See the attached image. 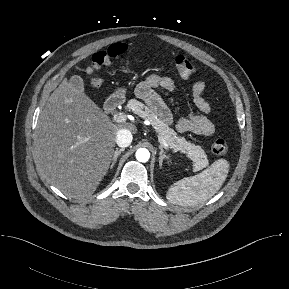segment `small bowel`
Instances as JSON below:
<instances>
[{
  "label": "small bowel",
  "mask_w": 289,
  "mask_h": 289,
  "mask_svg": "<svg viewBox=\"0 0 289 289\" xmlns=\"http://www.w3.org/2000/svg\"><path fill=\"white\" fill-rule=\"evenodd\" d=\"M206 87L207 85L204 81H197L193 84L192 99L199 113L190 110L185 116L179 118L175 123L177 131L181 133L190 132L206 137L214 134V124L208 118V115L211 113V106L203 97ZM159 90L175 92L176 85L170 77L150 75L138 85L137 95L143 99L166 124H172V114L158 94Z\"/></svg>",
  "instance_id": "1"
}]
</instances>
